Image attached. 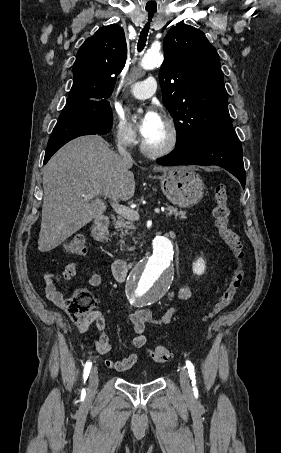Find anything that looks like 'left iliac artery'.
Returning a JSON list of instances; mask_svg holds the SVG:
<instances>
[{
    "instance_id": "1",
    "label": "left iliac artery",
    "mask_w": 281,
    "mask_h": 453,
    "mask_svg": "<svg viewBox=\"0 0 281 453\" xmlns=\"http://www.w3.org/2000/svg\"><path fill=\"white\" fill-rule=\"evenodd\" d=\"M186 366H187V369H188V372H189V377L190 379L192 380V386H193V391L194 390H197V387H196V380H195V370H194V366L193 364L190 362V361H186Z\"/></svg>"
}]
</instances>
